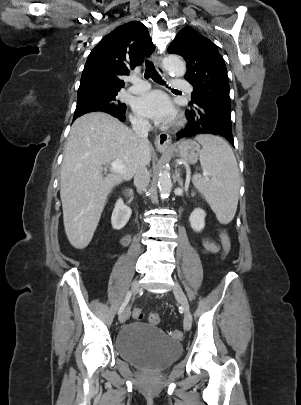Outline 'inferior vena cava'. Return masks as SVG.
<instances>
[{
    "instance_id": "inferior-vena-cava-1",
    "label": "inferior vena cava",
    "mask_w": 301,
    "mask_h": 405,
    "mask_svg": "<svg viewBox=\"0 0 301 405\" xmlns=\"http://www.w3.org/2000/svg\"><path fill=\"white\" fill-rule=\"evenodd\" d=\"M151 125L145 119H134L132 121V129L137 138L142 141H148V132ZM150 182V175L146 168V165H140L137 167L134 175V184L137 191L141 193L146 189Z\"/></svg>"
}]
</instances>
